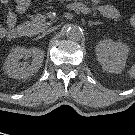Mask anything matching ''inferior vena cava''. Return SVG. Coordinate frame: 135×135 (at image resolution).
<instances>
[{"instance_id":"602c4592","label":"inferior vena cava","mask_w":135,"mask_h":135,"mask_svg":"<svg viewBox=\"0 0 135 135\" xmlns=\"http://www.w3.org/2000/svg\"><path fill=\"white\" fill-rule=\"evenodd\" d=\"M54 30H55V28H49L48 30L44 31L43 34L53 32Z\"/></svg>"}]
</instances>
